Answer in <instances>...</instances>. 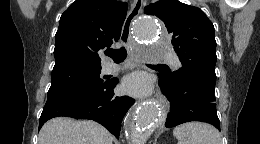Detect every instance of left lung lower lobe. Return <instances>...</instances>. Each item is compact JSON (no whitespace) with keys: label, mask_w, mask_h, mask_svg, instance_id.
<instances>
[{"label":"left lung lower lobe","mask_w":260,"mask_h":144,"mask_svg":"<svg viewBox=\"0 0 260 144\" xmlns=\"http://www.w3.org/2000/svg\"><path fill=\"white\" fill-rule=\"evenodd\" d=\"M158 76L162 93L170 103L166 128L185 122L201 121L210 123L220 130L214 88L194 78L174 84L165 72L159 73Z\"/></svg>","instance_id":"1"}]
</instances>
